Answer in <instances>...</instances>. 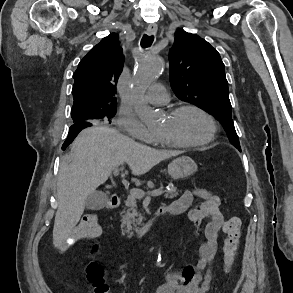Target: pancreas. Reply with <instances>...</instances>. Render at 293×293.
Listing matches in <instances>:
<instances>
[{
    "mask_svg": "<svg viewBox=\"0 0 293 293\" xmlns=\"http://www.w3.org/2000/svg\"><path fill=\"white\" fill-rule=\"evenodd\" d=\"M178 190L176 187H171L165 191L164 197L168 199H173L177 197ZM136 197L130 194L127 196L125 201L126 208L124 209L123 216L121 219V228H125L124 232L129 236H132L135 232L140 233L142 230L137 227L142 222V216L137 212V202Z\"/></svg>",
    "mask_w": 293,
    "mask_h": 293,
    "instance_id": "obj_1",
    "label": "pancreas"
}]
</instances>
